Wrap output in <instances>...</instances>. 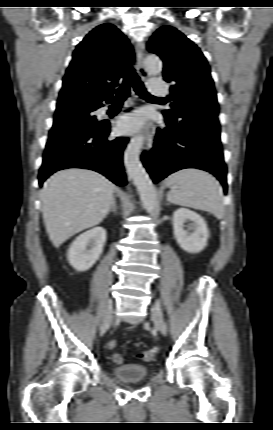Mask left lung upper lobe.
<instances>
[{"mask_svg":"<svg viewBox=\"0 0 273 430\" xmlns=\"http://www.w3.org/2000/svg\"><path fill=\"white\" fill-rule=\"evenodd\" d=\"M147 48L164 62L163 76L171 83V110L177 121H192L200 115L218 117V103L210 68L200 49L171 26L160 27ZM218 119V118H217Z\"/></svg>","mask_w":273,"mask_h":430,"instance_id":"obj_1","label":"left lung upper lobe"}]
</instances>
